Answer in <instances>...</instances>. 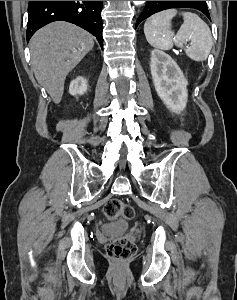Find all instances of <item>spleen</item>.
I'll return each instance as SVG.
<instances>
[{
  "label": "spleen",
  "instance_id": "spleen-1",
  "mask_svg": "<svg viewBox=\"0 0 237 300\" xmlns=\"http://www.w3.org/2000/svg\"><path fill=\"white\" fill-rule=\"evenodd\" d=\"M177 13L176 9H168L147 19L144 35L149 45L161 51H169L175 41V45L184 49L187 57L192 61H206L213 45L208 25L195 13H181L184 23L174 37L171 21ZM186 41H190V47H184L183 43Z\"/></svg>",
  "mask_w": 237,
  "mask_h": 300
}]
</instances>
